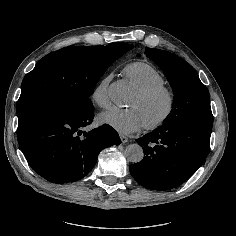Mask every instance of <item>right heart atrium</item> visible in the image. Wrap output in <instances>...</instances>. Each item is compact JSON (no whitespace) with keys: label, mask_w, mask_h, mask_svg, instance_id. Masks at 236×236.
Segmentation results:
<instances>
[{"label":"right heart atrium","mask_w":236,"mask_h":236,"mask_svg":"<svg viewBox=\"0 0 236 236\" xmlns=\"http://www.w3.org/2000/svg\"><path fill=\"white\" fill-rule=\"evenodd\" d=\"M113 78L112 73L106 74L99 83L93 88L91 98L100 107H107L110 104L108 87Z\"/></svg>","instance_id":"right-heart-atrium-1"}]
</instances>
